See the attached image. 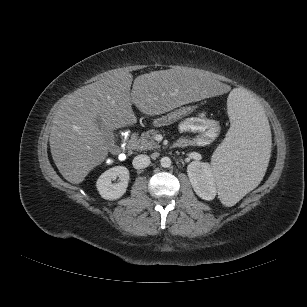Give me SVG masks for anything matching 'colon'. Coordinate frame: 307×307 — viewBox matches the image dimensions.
Segmentation results:
<instances>
[{
  "mask_svg": "<svg viewBox=\"0 0 307 307\" xmlns=\"http://www.w3.org/2000/svg\"><path fill=\"white\" fill-rule=\"evenodd\" d=\"M126 137H127V134H126V132L125 131H122L121 132V144H120V149H121V151H123V146L125 145V143H126ZM111 162H112V160H111Z\"/></svg>",
  "mask_w": 307,
  "mask_h": 307,
  "instance_id": "obj_1",
  "label": "colon"
}]
</instances>
